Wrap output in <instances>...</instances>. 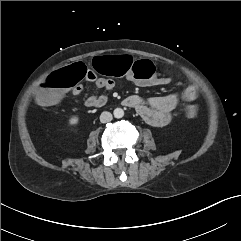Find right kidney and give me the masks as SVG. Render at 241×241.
<instances>
[{
    "label": "right kidney",
    "mask_w": 241,
    "mask_h": 241,
    "mask_svg": "<svg viewBox=\"0 0 241 241\" xmlns=\"http://www.w3.org/2000/svg\"><path fill=\"white\" fill-rule=\"evenodd\" d=\"M79 124V117L74 115L69 118L68 125L70 126H77Z\"/></svg>",
    "instance_id": "obj_1"
}]
</instances>
